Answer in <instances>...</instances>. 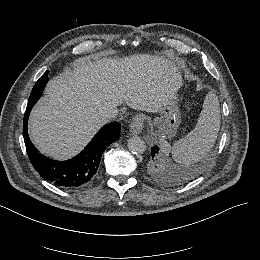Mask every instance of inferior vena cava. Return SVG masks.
<instances>
[{
	"label": "inferior vena cava",
	"instance_id": "inferior-vena-cava-1",
	"mask_svg": "<svg viewBox=\"0 0 260 260\" xmlns=\"http://www.w3.org/2000/svg\"><path fill=\"white\" fill-rule=\"evenodd\" d=\"M123 105L121 101L117 100L115 103L109 104L107 107L106 116L109 118H113L118 113V106Z\"/></svg>",
	"mask_w": 260,
	"mask_h": 260
}]
</instances>
